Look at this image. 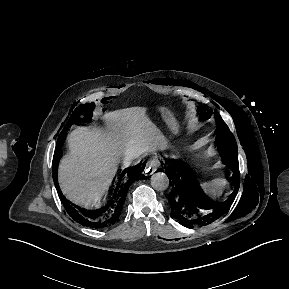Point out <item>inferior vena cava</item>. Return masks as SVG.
I'll return each mask as SVG.
<instances>
[{
  "label": "inferior vena cava",
  "mask_w": 289,
  "mask_h": 289,
  "mask_svg": "<svg viewBox=\"0 0 289 289\" xmlns=\"http://www.w3.org/2000/svg\"><path fill=\"white\" fill-rule=\"evenodd\" d=\"M129 163L134 164L135 163L134 158H130Z\"/></svg>",
  "instance_id": "1"
}]
</instances>
